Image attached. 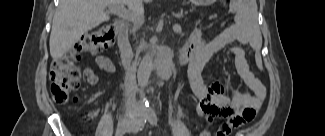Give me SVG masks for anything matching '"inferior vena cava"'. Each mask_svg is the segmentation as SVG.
<instances>
[{
  "mask_svg": "<svg viewBox=\"0 0 325 136\" xmlns=\"http://www.w3.org/2000/svg\"><path fill=\"white\" fill-rule=\"evenodd\" d=\"M136 91V81L132 70H128L125 73L124 78V94L130 99H134Z\"/></svg>",
  "mask_w": 325,
  "mask_h": 136,
  "instance_id": "inferior-vena-cava-1",
  "label": "inferior vena cava"
}]
</instances>
